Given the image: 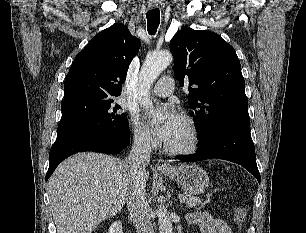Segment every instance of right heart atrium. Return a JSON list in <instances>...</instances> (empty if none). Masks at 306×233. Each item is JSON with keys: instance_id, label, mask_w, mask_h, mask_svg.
Listing matches in <instances>:
<instances>
[{"instance_id": "d8ad5b80", "label": "right heart atrium", "mask_w": 306, "mask_h": 233, "mask_svg": "<svg viewBox=\"0 0 306 233\" xmlns=\"http://www.w3.org/2000/svg\"><path fill=\"white\" fill-rule=\"evenodd\" d=\"M131 126L134 144L141 149H151L155 140L136 115L131 117Z\"/></svg>"}]
</instances>
